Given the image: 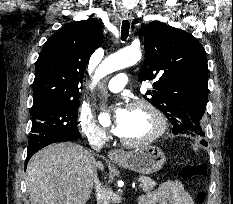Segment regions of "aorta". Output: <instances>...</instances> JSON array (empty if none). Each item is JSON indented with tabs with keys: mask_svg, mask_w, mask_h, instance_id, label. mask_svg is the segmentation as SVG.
I'll return each instance as SVG.
<instances>
[{
	"mask_svg": "<svg viewBox=\"0 0 233 204\" xmlns=\"http://www.w3.org/2000/svg\"><path fill=\"white\" fill-rule=\"evenodd\" d=\"M141 57V51L134 48H126L107 57L96 70L92 84L95 85L101 78L114 71L136 64ZM98 120L101 124L108 123L110 120L109 114L100 113Z\"/></svg>",
	"mask_w": 233,
	"mask_h": 204,
	"instance_id": "aorta-1",
	"label": "aorta"
}]
</instances>
